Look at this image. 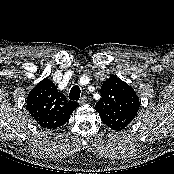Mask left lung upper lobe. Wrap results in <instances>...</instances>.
<instances>
[{"mask_svg": "<svg viewBox=\"0 0 174 174\" xmlns=\"http://www.w3.org/2000/svg\"><path fill=\"white\" fill-rule=\"evenodd\" d=\"M101 99L96 103L95 110L101 120L109 128L121 131L135 118L140 101L126 82L116 76H110L101 86Z\"/></svg>", "mask_w": 174, "mask_h": 174, "instance_id": "left-lung-upper-lobe-1", "label": "left lung upper lobe"}]
</instances>
